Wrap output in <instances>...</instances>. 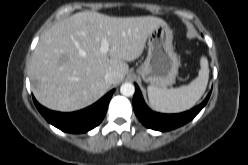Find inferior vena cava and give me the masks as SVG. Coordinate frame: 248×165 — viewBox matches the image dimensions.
I'll use <instances>...</instances> for the list:
<instances>
[{
	"instance_id": "obj_1",
	"label": "inferior vena cava",
	"mask_w": 248,
	"mask_h": 165,
	"mask_svg": "<svg viewBox=\"0 0 248 165\" xmlns=\"http://www.w3.org/2000/svg\"><path fill=\"white\" fill-rule=\"evenodd\" d=\"M116 80V73L115 72H108L105 75V81L109 84H113Z\"/></svg>"
}]
</instances>
